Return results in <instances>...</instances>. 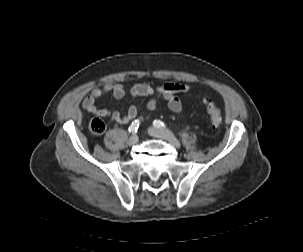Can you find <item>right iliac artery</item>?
Instances as JSON below:
<instances>
[{"label":"right iliac artery","mask_w":303,"mask_h":252,"mask_svg":"<svg viewBox=\"0 0 303 252\" xmlns=\"http://www.w3.org/2000/svg\"><path fill=\"white\" fill-rule=\"evenodd\" d=\"M139 127V122L137 120H135L134 122H132V124L129 126V132H136L137 129Z\"/></svg>","instance_id":"1"}]
</instances>
